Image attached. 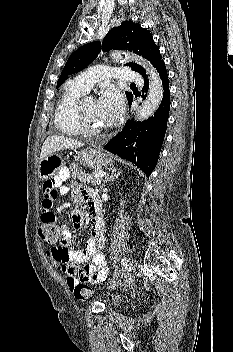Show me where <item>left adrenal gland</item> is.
<instances>
[{
    "mask_svg": "<svg viewBox=\"0 0 233 352\" xmlns=\"http://www.w3.org/2000/svg\"><path fill=\"white\" fill-rule=\"evenodd\" d=\"M120 173L116 171V169H113L111 174H108L105 177V180L103 181L100 189H102L105 186V183H107L108 181H114L115 179H117L119 177Z\"/></svg>",
    "mask_w": 233,
    "mask_h": 352,
    "instance_id": "left-adrenal-gland-1",
    "label": "left adrenal gland"
}]
</instances>
